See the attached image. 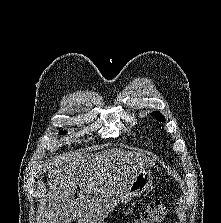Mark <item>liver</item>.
Wrapping results in <instances>:
<instances>
[{"label":"liver","instance_id":"obj_1","mask_svg":"<svg viewBox=\"0 0 221 223\" xmlns=\"http://www.w3.org/2000/svg\"><path fill=\"white\" fill-rule=\"evenodd\" d=\"M150 160L146 153L117 148L94 154L72 151L53 158L41 223H103L136 173Z\"/></svg>","mask_w":221,"mask_h":223}]
</instances>
